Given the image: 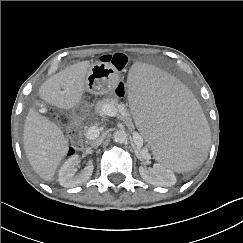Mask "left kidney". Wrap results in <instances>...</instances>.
I'll return each instance as SVG.
<instances>
[{
  "label": "left kidney",
  "mask_w": 243,
  "mask_h": 243,
  "mask_svg": "<svg viewBox=\"0 0 243 243\" xmlns=\"http://www.w3.org/2000/svg\"><path fill=\"white\" fill-rule=\"evenodd\" d=\"M141 177L155 186L170 187L176 183V176L168 166L155 163L153 168L139 167Z\"/></svg>",
  "instance_id": "left-kidney-1"
}]
</instances>
